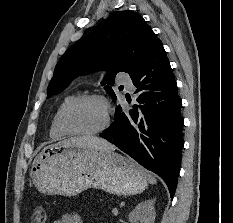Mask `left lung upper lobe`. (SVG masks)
Segmentation results:
<instances>
[{"instance_id":"obj_1","label":"left lung upper lobe","mask_w":233,"mask_h":223,"mask_svg":"<svg viewBox=\"0 0 233 223\" xmlns=\"http://www.w3.org/2000/svg\"><path fill=\"white\" fill-rule=\"evenodd\" d=\"M157 39L139 14L116 12L63 54L49 83L48 98L62 92L78 75L106 70L108 74L102 85H113L118 72H127L131 76ZM105 89L116 98L110 86Z\"/></svg>"}]
</instances>
